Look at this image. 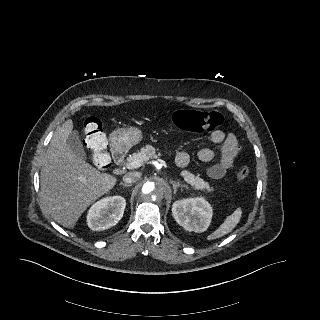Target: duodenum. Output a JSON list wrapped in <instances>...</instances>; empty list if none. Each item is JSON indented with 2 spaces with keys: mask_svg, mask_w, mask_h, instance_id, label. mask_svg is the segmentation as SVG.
Instances as JSON below:
<instances>
[{
  "mask_svg": "<svg viewBox=\"0 0 320 320\" xmlns=\"http://www.w3.org/2000/svg\"><path fill=\"white\" fill-rule=\"evenodd\" d=\"M113 160L116 164H121L126 156V151L125 149L118 143H115L113 145Z\"/></svg>",
  "mask_w": 320,
  "mask_h": 320,
  "instance_id": "1",
  "label": "duodenum"
}]
</instances>
